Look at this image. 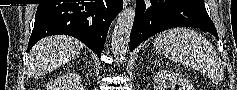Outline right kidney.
<instances>
[{
  "label": "right kidney",
  "mask_w": 237,
  "mask_h": 90,
  "mask_svg": "<svg viewBox=\"0 0 237 90\" xmlns=\"http://www.w3.org/2000/svg\"><path fill=\"white\" fill-rule=\"evenodd\" d=\"M74 80H75V84H78L79 76H76V78H74ZM78 86H79L80 90H82L81 84H78ZM54 88H55V90H57L58 84H56V86H54ZM47 90H49V88H47Z\"/></svg>",
  "instance_id": "right-kidney-1"
}]
</instances>
